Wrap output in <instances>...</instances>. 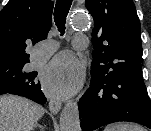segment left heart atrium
I'll return each mask as SVG.
<instances>
[{
	"label": "left heart atrium",
	"mask_w": 151,
	"mask_h": 131,
	"mask_svg": "<svg viewBox=\"0 0 151 131\" xmlns=\"http://www.w3.org/2000/svg\"><path fill=\"white\" fill-rule=\"evenodd\" d=\"M83 78L82 65L74 56L64 53L56 57L45 68L42 74V84L51 97L65 98L80 88Z\"/></svg>",
	"instance_id": "left-heart-atrium-1"
}]
</instances>
